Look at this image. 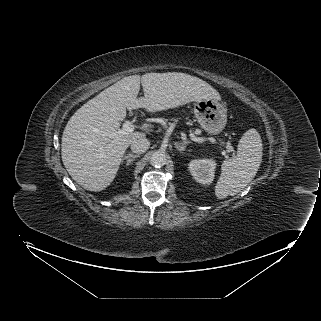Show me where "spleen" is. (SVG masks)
<instances>
[{
    "label": "spleen",
    "mask_w": 321,
    "mask_h": 321,
    "mask_svg": "<svg viewBox=\"0 0 321 321\" xmlns=\"http://www.w3.org/2000/svg\"><path fill=\"white\" fill-rule=\"evenodd\" d=\"M262 151L259 133L255 129L246 131L239 141L237 156L222 163L221 175L215 186L217 198L236 195L252 181L261 165Z\"/></svg>",
    "instance_id": "obj_1"
}]
</instances>
